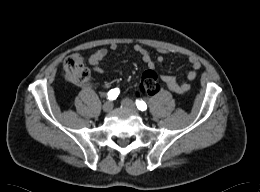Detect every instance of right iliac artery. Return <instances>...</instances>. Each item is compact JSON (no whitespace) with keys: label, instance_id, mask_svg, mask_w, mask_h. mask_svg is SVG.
<instances>
[{"label":"right iliac artery","instance_id":"right-iliac-artery-1","mask_svg":"<svg viewBox=\"0 0 260 192\" xmlns=\"http://www.w3.org/2000/svg\"><path fill=\"white\" fill-rule=\"evenodd\" d=\"M119 94V89H113L109 92L108 98L109 99H115Z\"/></svg>","mask_w":260,"mask_h":192}]
</instances>
